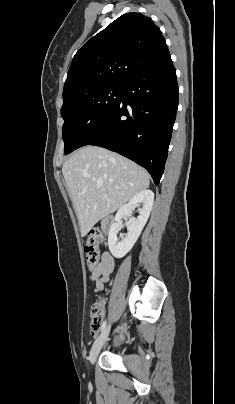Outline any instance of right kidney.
Returning <instances> with one entry per match:
<instances>
[{
	"instance_id": "right-kidney-1",
	"label": "right kidney",
	"mask_w": 235,
	"mask_h": 404,
	"mask_svg": "<svg viewBox=\"0 0 235 404\" xmlns=\"http://www.w3.org/2000/svg\"><path fill=\"white\" fill-rule=\"evenodd\" d=\"M153 202L154 193L151 190H143L118 210L115 223L111 226L108 235L109 250L115 258L124 257L132 249L149 218ZM138 204L142 205L139 216L129 218L126 222L128 232L125 237L121 235V241H119L117 234L122 227V218L129 217Z\"/></svg>"
}]
</instances>
